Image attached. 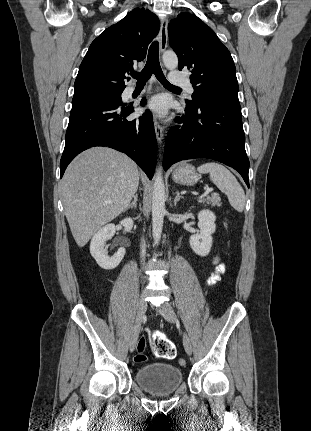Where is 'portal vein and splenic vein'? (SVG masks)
Returning <instances> with one entry per match:
<instances>
[{
    "mask_svg": "<svg viewBox=\"0 0 311 431\" xmlns=\"http://www.w3.org/2000/svg\"><path fill=\"white\" fill-rule=\"evenodd\" d=\"M210 192H213V188H205V192L202 196H199V200H201V198H205V196H209Z\"/></svg>",
    "mask_w": 311,
    "mask_h": 431,
    "instance_id": "1",
    "label": "portal vein and splenic vein"
}]
</instances>
